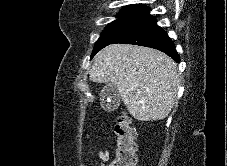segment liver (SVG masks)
I'll return each instance as SVG.
<instances>
[{
    "label": "liver",
    "mask_w": 227,
    "mask_h": 166,
    "mask_svg": "<svg viewBox=\"0 0 227 166\" xmlns=\"http://www.w3.org/2000/svg\"><path fill=\"white\" fill-rule=\"evenodd\" d=\"M90 80L115 85L129 113L157 121L171 112L180 85L176 63L161 51L114 44L94 57Z\"/></svg>",
    "instance_id": "liver-1"
}]
</instances>
